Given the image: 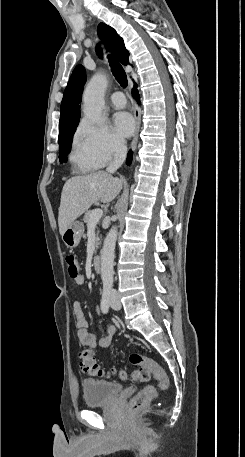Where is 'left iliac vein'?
I'll use <instances>...</instances> for the list:
<instances>
[{"instance_id": "4c4485c4", "label": "left iliac vein", "mask_w": 245, "mask_h": 457, "mask_svg": "<svg viewBox=\"0 0 245 457\" xmlns=\"http://www.w3.org/2000/svg\"><path fill=\"white\" fill-rule=\"evenodd\" d=\"M112 300H111V308L114 310H120L121 308V303L119 301V298L116 294L111 295Z\"/></svg>"}]
</instances>
